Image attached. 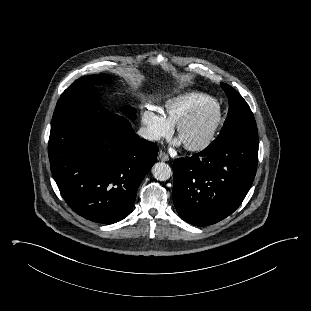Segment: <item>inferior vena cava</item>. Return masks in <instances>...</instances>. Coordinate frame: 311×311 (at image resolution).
<instances>
[{"instance_id":"602c4592","label":"inferior vena cava","mask_w":311,"mask_h":311,"mask_svg":"<svg viewBox=\"0 0 311 311\" xmlns=\"http://www.w3.org/2000/svg\"><path fill=\"white\" fill-rule=\"evenodd\" d=\"M138 135L146 140H149V141H154V140H158L159 139V136L156 135L155 133H153L149 128L147 127H141L139 130H138Z\"/></svg>"}]
</instances>
